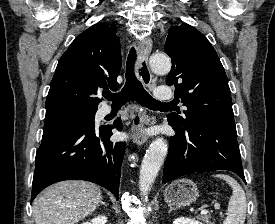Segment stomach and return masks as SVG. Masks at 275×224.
Returning <instances> with one entry per match:
<instances>
[{"instance_id":"0dacf381","label":"stomach","mask_w":275,"mask_h":224,"mask_svg":"<svg viewBox=\"0 0 275 224\" xmlns=\"http://www.w3.org/2000/svg\"><path fill=\"white\" fill-rule=\"evenodd\" d=\"M198 196L196 184L186 178L173 181L164 191L165 202L176 207L189 206L196 201Z\"/></svg>"}]
</instances>
